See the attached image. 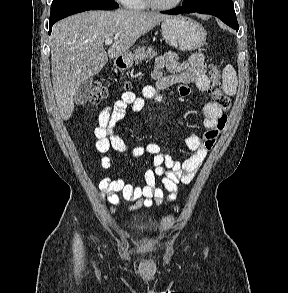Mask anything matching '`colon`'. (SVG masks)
<instances>
[{"mask_svg":"<svg viewBox=\"0 0 288 293\" xmlns=\"http://www.w3.org/2000/svg\"><path fill=\"white\" fill-rule=\"evenodd\" d=\"M211 80L212 83L208 92L213 96L216 104L223 110L227 111L230 108L229 98L222 92L220 83V70L218 65L211 67ZM109 90L102 82H95L91 88V102L98 104L108 97Z\"/></svg>","mask_w":288,"mask_h":293,"instance_id":"5ec220e1","label":"colon"}]
</instances>
